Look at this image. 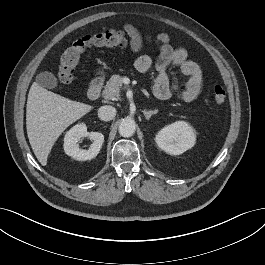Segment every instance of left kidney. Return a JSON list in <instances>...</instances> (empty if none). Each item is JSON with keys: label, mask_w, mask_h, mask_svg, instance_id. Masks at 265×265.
I'll return each mask as SVG.
<instances>
[{"label": "left kidney", "mask_w": 265, "mask_h": 265, "mask_svg": "<svg viewBox=\"0 0 265 265\" xmlns=\"http://www.w3.org/2000/svg\"><path fill=\"white\" fill-rule=\"evenodd\" d=\"M155 141L166 153L180 155L195 145L196 135L188 123L177 121L161 129Z\"/></svg>", "instance_id": "obj_1"}]
</instances>
